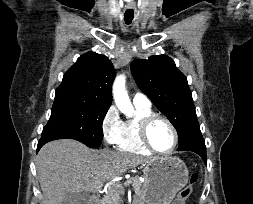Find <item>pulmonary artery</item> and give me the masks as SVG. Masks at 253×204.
<instances>
[{
    "label": "pulmonary artery",
    "instance_id": "e3ab8cb5",
    "mask_svg": "<svg viewBox=\"0 0 253 204\" xmlns=\"http://www.w3.org/2000/svg\"><path fill=\"white\" fill-rule=\"evenodd\" d=\"M133 103L136 106H140V107H144V108L151 107L150 99L146 95L139 93V92H137L133 95Z\"/></svg>",
    "mask_w": 253,
    "mask_h": 204
}]
</instances>
